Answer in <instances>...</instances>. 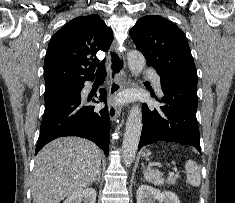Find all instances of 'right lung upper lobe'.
<instances>
[{"label": "right lung upper lobe", "mask_w": 235, "mask_h": 203, "mask_svg": "<svg viewBox=\"0 0 235 203\" xmlns=\"http://www.w3.org/2000/svg\"><path fill=\"white\" fill-rule=\"evenodd\" d=\"M112 30L98 15L79 16L50 40L44 60L45 86L79 83L94 76L96 53L108 51Z\"/></svg>", "instance_id": "obj_1"}]
</instances>
